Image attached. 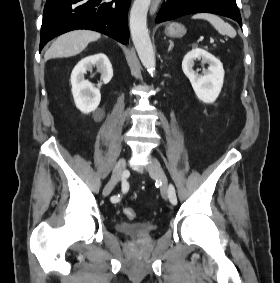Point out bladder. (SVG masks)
I'll list each match as a JSON object with an SVG mask.
<instances>
[{
    "mask_svg": "<svg viewBox=\"0 0 280 283\" xmlns=\"http://www.w3.org/2000/svg\"><path fill=\"white\" fill-rule=\"evenodd\" d=\"M116 229L130 237L146 238L156 230V226L149 222L129 223L120 221L117 222Z\"/></svg>",
    "mask_w": 280,
    "mask_h": 283,
    "instance_id": "31cf9c89",
    "label": "bladder"
}]
</instances>
